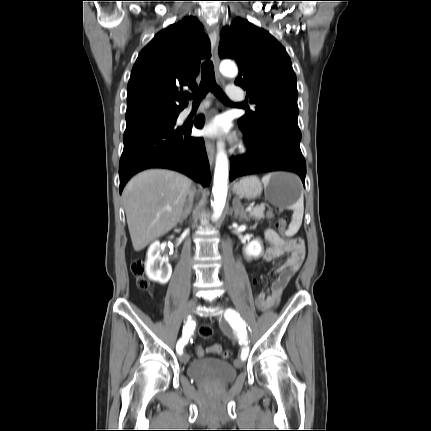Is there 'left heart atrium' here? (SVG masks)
Segmentation results:
<instances>
[{"mask_svg": "<svg viewBox=\"0 0 431 431\" xmlns=\"http://www.w3.org/2000/svg\"><path fill=\"white\" fill-rule=\"evenodd\" d=\"M220 131H225L224 122L221 119L213 120L204 129V133L210 136L216 135Z\"/></svg>", "mask_w": 431, "mask_h": 431, "instance_id": "1", "label": "left heart atrium"}]
</instances>
